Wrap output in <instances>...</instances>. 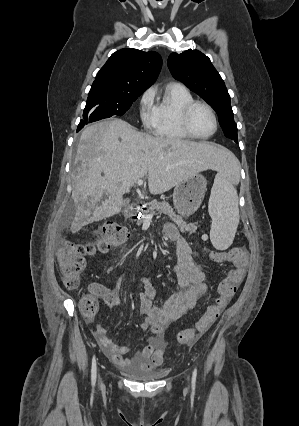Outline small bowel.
Returning <instances> with one entry per match:
<instances>
[{
  "label": "small bowel",
  "instance_id": "small-bowel-1",
  "mask_svg": "<svg viewBox=\"0 0 299 426\" xmlns=\"http://www.w3.org/2000/svg\"><path fill=\"white\" fill-rule=\"evenodd\" d=\"M164 233L166 238L176 245V260L173 261L172 267L179 289L162 306H156L154 304L156 293L153 286L147 278L141 279L140 310L144 318L140 327L142 330L152 333L147 344L142 350L126 357L130 352L128 346L112 342L107 336L106 328L100 325H96L93 329L94 336L104 354L120 368L160 366L165 357L164 344L167 326L184 316L207 292L206 273L194 262L188 242L173 224L165 225ZM90 289L110 309L119 304L118 283L113 288L93 284Z\"/></svg>",
  "mask_w": 299,
  "mask_h": 426
}]
</instances>
